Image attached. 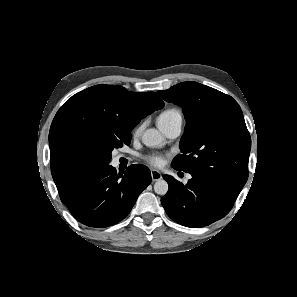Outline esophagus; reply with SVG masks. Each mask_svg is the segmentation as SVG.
<instances>
[{
	"label": "esophagus",
	"mask_w": 297,
	"mask_h": 297,
	"mask_svg": "<svg viewBox=\"0 0 297 297\" xmlns=\"http://www.w3.org/2000/svg\"><path fill=\"white\" fill-rule=\"evenodd\" d=\"M151 177H152L153 181H157V180H160L162 178V175L157 170H151Z\"/></svg>",
	"instance_id": "1"
}]
</instances>
